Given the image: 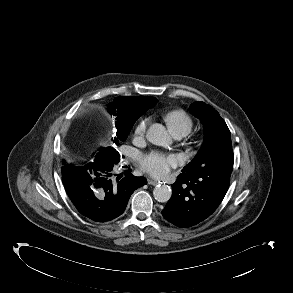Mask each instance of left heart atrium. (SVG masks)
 Wrapping results in <instances>:
<instances>
[{
	"label": "left heart atrium",
	"instance_id": "1",
	"mask_svg": "<svg viewBox=\"0 0 293 293\" xmlns=\"http://www.w3.org/2000/svg\"><path fill=\"white\" fill-rule=\"evenodd\" d=\"M175 157L162 153H151L141 159L142 169L150 175L162 178L166 176L170 168L175 164Z\"/></svg>",
	"mask_w": 293,
	"mask_h": 293
}]
</instances>
